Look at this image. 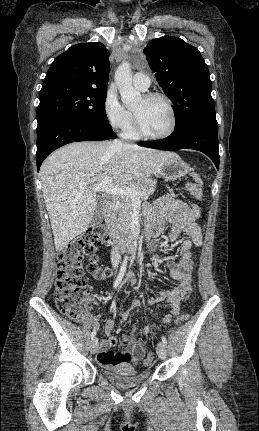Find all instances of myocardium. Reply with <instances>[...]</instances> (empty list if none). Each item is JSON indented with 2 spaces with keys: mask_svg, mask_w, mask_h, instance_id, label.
Segmentation results:
<instances>
[{
  "mask_svg": "<svg viewBox=\"0 0 259 431\" xmlns=\"http://www.w3.org/2000/svg\"><path fill=\"white\" fill-rule=\"evenodd\" d=\"M143 98L145 100H152V99L163 100L165 102L168 110H169V113H170V125H169L168 129L161 134H156V135L149 134L143 129L137 115L133 112V127H134L136 134L141 138L149 139V140H161V139H165V138L171 136L173 134V132L175 131L176 124H177L176 112H175V108L173 106L171 99L167 95L160 93V92L147 93L143 96Z\"/></svg>",
  "mask_w": 259,
  "mask_h": 431,
  "instance_id": "obj_1",
  "label": "myocardium"
}]
</instances>
